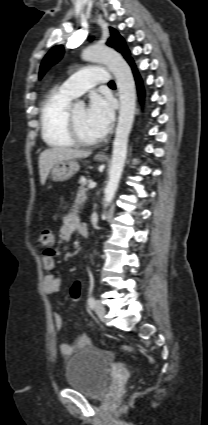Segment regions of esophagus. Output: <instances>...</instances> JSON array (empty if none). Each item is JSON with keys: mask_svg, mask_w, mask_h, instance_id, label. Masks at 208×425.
<instances>
[{"mask_svg": "<svg viewBox=\"0 0 208 425\" xmlns=\"http://www.w3.org/2000/svg\"><path fill=\"white\" fill-rule=\"evenodd\" d=\"M97 156H98V157H105V156H106V153H105V151H103V152H99V153L97 154Z\"/></svg>", "mask_w": 208, "mask_h": 425, "instance_id": "obj_1", "label": "esophagus"}]
</instances>
